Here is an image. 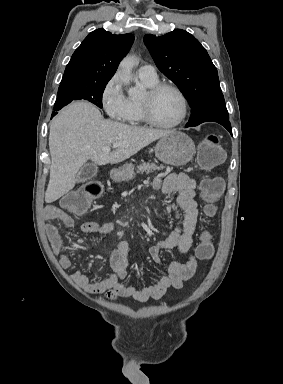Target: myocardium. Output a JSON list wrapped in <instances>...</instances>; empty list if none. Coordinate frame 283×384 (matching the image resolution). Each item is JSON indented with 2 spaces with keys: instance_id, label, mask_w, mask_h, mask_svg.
<instances>
[{
  "instance_id": "1",
  "label": "myocardium",
  "mask_w": 283,
  "mask_h": 384,
  "mask_svg": "<svg viewBox=\"0 0 283 384\" xmlns=\"http://www.w3.org/2000/svg\"><path fill=\"white\" fill-rule=\"evenodd\" d=\"M166 89L173 91L180 99L182 105L180 117L170 124L159 123L154 119L151 112V101L153 97H155L159 92ZM140 108L144 122L150 125L151 127L161 130H169L179 126L185 120L188 112L187 99L183 92L177 86L166 82L157 83L155 85L150 86L147 89L145 96L140 99Z\"/></svg>"
}]
</instances>
